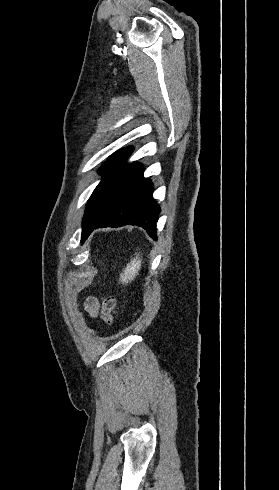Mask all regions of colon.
<instances>
[{
    "label": "colon",
    "instance_id": "1",
    "mask_svg": "<svg viewBox=\"0 0 279 490\" xmlns=\"http://www.w3.org/2000/svg\"><path fill=\"white\" fill-rule=\"evenodd\" d=\"M119 305L117 299L113 295L104 297L100 309V318L105 325L113 323Z\"/></svg>",
    "mask_w": 279,
    "mask_h": 490
}]
</instances>
